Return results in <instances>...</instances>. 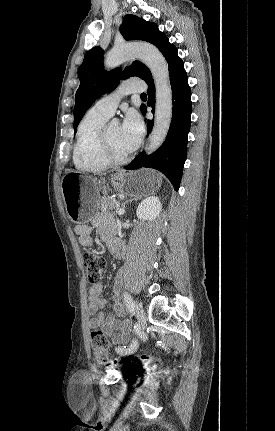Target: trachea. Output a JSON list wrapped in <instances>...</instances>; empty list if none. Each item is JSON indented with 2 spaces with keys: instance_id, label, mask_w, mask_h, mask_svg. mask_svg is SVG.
I'll return each mask as SVG.
<instances>
[{
  "instance_id": "3493384b",
  "label": "trachea",
  "mask_w": 275,
  "mask_h": 431,
  "mask_svg": "<svg viewBox=\"0 0 275 431\" xmlns=\"http://www.w3.org/2000/svg\"><path fill=\"white\" fill-rule=\"evenodd\" d=\"M141 97H147V95L145 93H142Z\"/></svg>"
}]
</instances>
